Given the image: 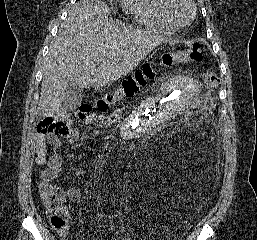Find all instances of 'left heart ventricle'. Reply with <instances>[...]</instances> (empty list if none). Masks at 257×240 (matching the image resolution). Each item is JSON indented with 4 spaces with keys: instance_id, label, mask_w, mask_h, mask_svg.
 Wrapping results in <instances>:
<instances>
[{
    "instance_id": "left-heart-ventricle-1",
    "label": "left heart ventricle",
    "mask_w": 257,
    "mask_h": 240,
    "mask_svg": "<svg viewBox=\"0 0 257 240\" xmlns=\"http://www.w3.org/2000/svg\"><path fill=\"white\" fill-rule=\"evenodd\" d=\"M173 16L181 23L187 22L191 15V7L184 0H175L171 5Z\"/></svg>"
}]
</instances>
